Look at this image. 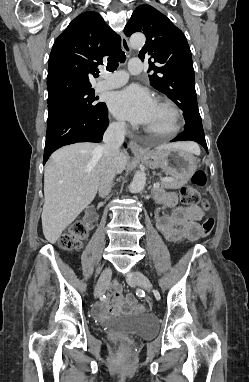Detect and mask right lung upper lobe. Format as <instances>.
Returning <instances> with one entry per match:
<instances>
[{
    "label": "right lung upper lobe",
    "instance_id": "1",
    "mask_svg": "<svg viewBox=\"0 0 249 382\" xmlns=\"http://www.w3.org/2000/svg\"><path fill=\"white\" fill-rule=\"evenodd\" d=\"M121 38L93 11L77 16L56 39L48 63V103L91 89L89 75Z\"/></svg>",
    "mask_w": 249,
    "mask_h": 382
}]
</instances>
